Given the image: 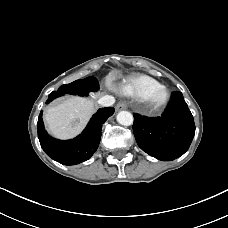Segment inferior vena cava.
<instances>
[{
  "label": "inferior vena cava",
  "mask_w": 228,
  "mask_h": 228,
  "mask_svg": "<svg viewBox=\"0 0 228 228\" xmlns=\"http://www.w3.org/2000/svg\"><path fill=\"white\" fill-rule=\"evenodd\" d=\"M115 103V99L113 96L110 95H104L99 98L98 104L102 107H109L112 106Z\"/></svg>",
  "instance_id": "1"
}]
</instances>
